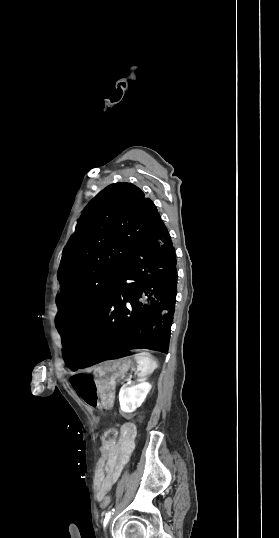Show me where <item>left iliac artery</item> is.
Instances as JSON below:
<instances>
[{
    "mask_svg": "<svg viewBox=\"0 0 279 538\" xmlns=\"http://www.w3.org/2000/svg\"><path fill=\"white\" fill-rule=\"evenodd\" d=\"M112 511H114V510H112ZM112 511H109V512L106 513V515H105V518H104V521H103L104 528L106 527V525H107V523H108V521H109V519H110V517H111Z\"/></svg>",
    "mask_w": 279,
    "mask_h": 538,
    "instance_id": "1",
    "label": "left iliac artery"
}]
</instances>
